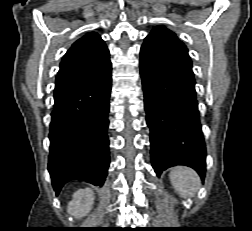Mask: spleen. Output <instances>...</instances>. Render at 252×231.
Listing matches in <instances>:
<instances>
[{
  "label": "spleen",
  "instance_id": "obj_1",
  "mask_svg": "<svg viewBox=\"0 0 252 231\" xmlns=\"http://www.w3.org/2000/svg\"><path fill=\"white\" fill-rule=\"evenodd\" d=\"M169 178L174 190L185 199L195 196L201 185L198 174L186 166L172 168Z\"/></svg>",
  "mask_w": 252,
  "mask_h": 231
}]
</instances>
